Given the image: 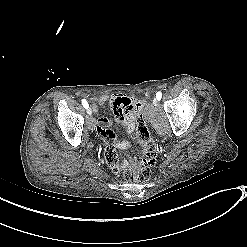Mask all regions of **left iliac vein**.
<instances>
[{
	"instance_id": "4c4485c4",
	"label": "left iliac vein",
	"mask_w": 247,
	"mask_h": 247,
	"mask_svg": "<svg viewBox=\"0 0 247 247\" xmlns=\"http://www.w3.org/2000/svg\"><path fill=\"white\" fill-rule=\"evenodd\" d=\"M153 104H154V106H158L159 105V100L157 98H155L153 100Z\"/></svg>"
}]
</instances>
